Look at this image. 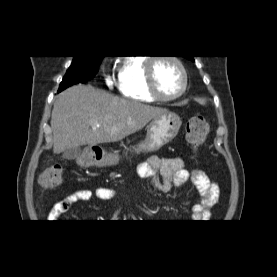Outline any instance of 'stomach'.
Listing matches in <instances>:
<instances>
[{"label":"stomach","instance_id":"1","mask_svg":"<svg viewBox=\"0 0 277 277\" xmlns=\"http://www.w3.org/2000/svg\"><path fill=\"white\" fill-rule=\"evenodd\" d=\"M182 121L180 117L173 112H167L151 120L147 126V135L144 143L140 144L137 151H156L163 145L170 142L179 132ZM119 161L117 155L104 154L102 160L97 161L92 154L83 158L82 164L86 166H111Z\"/></svg>","mask_w":277,"mask_h":277}]
</instances>
